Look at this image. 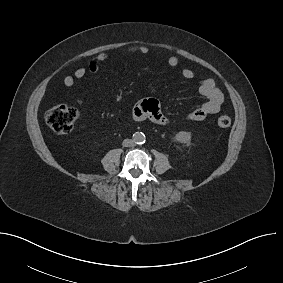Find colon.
Listing matches in <instances>:
<instances>
[{
	"label": "colon",
	"instance_id": "1",
	"mask_svg": "<svg viewBox=\"0 0 283 283\" xmlns=\"http://www.w3.org/2000/svg\"><path fill=\"white\" fill-rule=\"evenodd\" d=\"M77 117V110L65 104L52 106L45 114L47 124L58 134L71 132ZM217 124L221 128H227L231 125V118L227 115H222L218 118Z\"/></svg>",
	"mask_w": 283,
	"mask_h": 283
}]
</instances>
